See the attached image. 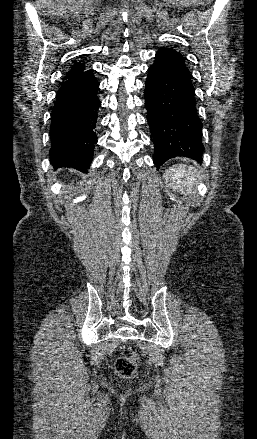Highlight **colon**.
<instances>
[{"mask_svg":"<svg viewBox=\"0 0 257 439\" xmlns=\"http://www.w3.org/2000/svg\"><path fill=\"white\" fill-rule=\"evenodd\" d=\"M137 365V356L135 354L119 356L114 363L116 372L122 377H131Z\"/></svg>","mask_w":257,"mask_h":439,"instance_id":"1","label":"colon"}]
</instances>
